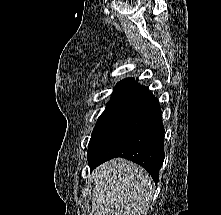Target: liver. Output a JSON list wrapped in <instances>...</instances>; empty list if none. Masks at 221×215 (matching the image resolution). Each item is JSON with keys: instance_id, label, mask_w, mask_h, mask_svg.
Here are the masks:
<instances>
[{"instance_id": "1", "label": "liver", "mask_w": 221, "mask_h": 215, "mask_svg": "<svg viewBox=\"0 0 221 215\" xmlns=\"http://www.w3.org/2000/svg\"><path fill=\"white\" fill-rule=\"evenodd\" d=\"M92 215H147L154 184L150 174L123 158L92 172Z\"/></svg>"}]
</instances>
